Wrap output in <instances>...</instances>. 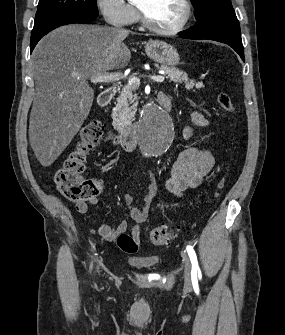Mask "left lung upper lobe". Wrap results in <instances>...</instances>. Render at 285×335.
Wrapping results in <instances>:
<instances>
[{"label": "left lung upper lobe", "mask_w": 285, "mask_h": 335, "mask_svg": "<svg viewBox=\"0 0 285 335\" xmlns=\"http://www.w3.org/2000/svg\"><path fill=\"white\" fill-rule=\"evenodd\" d=\"M196 20H201L213 12H233L231 0H191Z\"/></svg>", "instance_id": "1"}]
</instances>
